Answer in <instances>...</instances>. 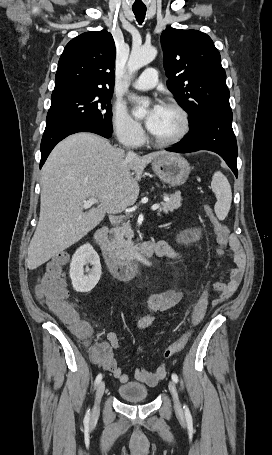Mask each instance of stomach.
I'll return each instance as SVG.
<instances>
[{
  "instance_id": "1",
  "label": "stomach",
  "mask_w": 272,
  "mask_h": 455,
  "mask_svg": "<svg viewBox=\"0 0 272 455\" xmlns=\"http://www.w3.org/2000/svg\"><path fill=\"white\" fill-rule=\"evenodd\" d=\"M156 175L171 186H180L186 182L190 174L188 161L179 154H165L152 162Z\"/></svg>"
}]
</instances>
